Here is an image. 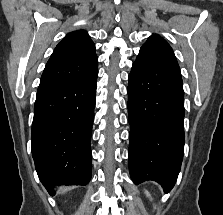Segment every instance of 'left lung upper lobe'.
Listing matches in <instances>:
<instances>
[{
	"instance_id": "1",
	"label": "left lung upper lobe",
	"mask_w": 223,
	"mask_h": 215,
	"mask_svg": "<svg viewBox=\"0 0 223 215\" xmlns=\"http://www.w3.org/2000/svg\"><path fill=\"white\" fill-rule=\"evenodd\" d=\"M135 62L165 70L181 77L179 65L170 45L159 35H152L143 44Z\"/></svg>"
}]
</instances>
